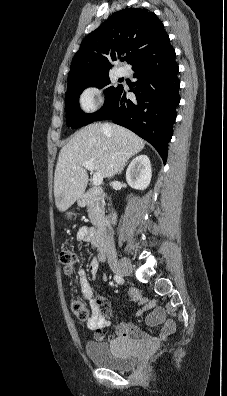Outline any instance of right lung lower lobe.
Masks as SVG:
<instances>
[{"label":"right lung lower lobe","mask_w":227,"mask_h":396,"mask_svg":"<svg viewBox=\"0 0 227 396\" xmlns=\"http://www.w3.org/2000/svg\"><path fill=\"white\" fill-rule=\"evenodd\" d=\"M132 69L138 79L133 91L136 100H127V90L122 86L94 121L111 119L130 129L152 144L166 163L180 102L179 68L170 41L143 54Z\"/></svg>","instance_id":"obj_1"}]
</instances>
